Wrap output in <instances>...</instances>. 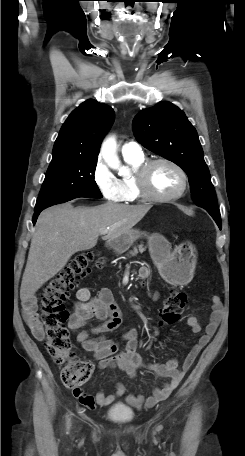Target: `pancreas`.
I'll return each instance as SVG.
<instances>
[{
    "label": "pancreas",
    "instance_id": "obj_1",
    "mask_svg": "<svg viewBox=\"0 0 245 456\" xmlns=\"http://www.w3.org/2000/svg\"><path fill=\"white\" fill-rule=\"evenodd\" d=\"M145 249H146V248L143 247V244H140V245H138L137 247L135 246V247L133 248V251H130L129 254L132 255V256H135V255H137L139 252H140V253H143V252L145 251Z\"/></svg>",
    "mask_w": 245,
    "mask_h": 456
}]
</instances>
